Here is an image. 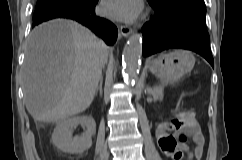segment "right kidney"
Returning a JSON list of instances; mask_svg holds the SVG:
<instances>
[{
    "instance_id": "obj_1",
    "label": "right kidney",
    "mask_w": 242,
    "mask_h": 160,
    "mask_svg": "<svg viewBox=\"0 0 242 160\" xmlns=\"http://www.w3.org/2000/svg\"><path fill=\"white\" fill-rule=\"evenodd\" d=\"M81 124L86 128L80 137L72 138L71 128ZM96 123L91 116H77L59 122L52 134L53 144L61 151L71 154L83 153L92 146Z\"/></svg>"
}]
</instances>
